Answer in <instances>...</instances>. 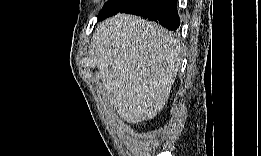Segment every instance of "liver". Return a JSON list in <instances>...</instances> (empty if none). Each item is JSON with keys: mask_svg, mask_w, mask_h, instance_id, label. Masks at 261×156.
I'll return each mask as SVG.
<instances>
[{"mask_svg": "<svg viewBox=\"0 0 261 156\" xmlns=\"http://www.w3.org/2000/svg\"><path fill=\"white\" fill-rule=\"evenodd\" d=\"M92 53L103 96L121 118L138 124L163 110L182 62L168 30L119 13L95 30Z\"/></svg>", "mask_w": 261, "mask_h": 156, "instance_id": "liver-1", "label": "liver"}]
</instances>
